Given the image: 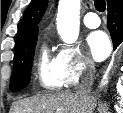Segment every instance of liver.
<instances>
[{
  "mask_svg": "<svg viewBox=\"0 0 123 113\" xmlns=\"http://www.w3.org/2000/svg\"><path fill=\"white\" fill-rule=\"evenodd\" d=\"M95 107L94 97L85 100L77 93L62 92L17 101L13 113H93Z\"/></svg>",
  "mask_w": 123,
  "mask_h": 113,
  "instance_id": "liver-1",
  "label": "liver"
}]
</instances>
